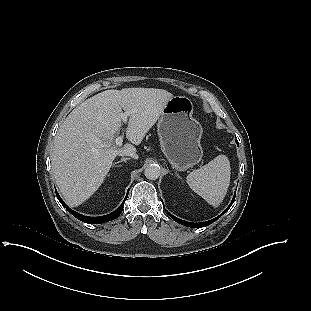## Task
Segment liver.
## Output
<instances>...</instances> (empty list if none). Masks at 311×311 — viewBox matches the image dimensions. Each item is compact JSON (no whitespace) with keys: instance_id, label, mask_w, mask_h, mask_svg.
Listing matches in <instances>:
<instances>
[{"instance_id":"obj_1","label":"liver","mask_w":311,"mask_h":311,"mask_svg":"<svg viewBox=\"0 0 311 311\" xmlns=\"http://www.w3.org/2000/svg\"><path fill=\"white\" fill-rule=\"evenodd\" d=\"M174 97L164 89L106 90L87 99L64 120L55 139L52 172L64 199L76 206L89 199L103 183L113 160L134 151ZM122 109L129 112L126 137L132 143L114 144L121 129Z\"/></svg>"}]
</instances>
